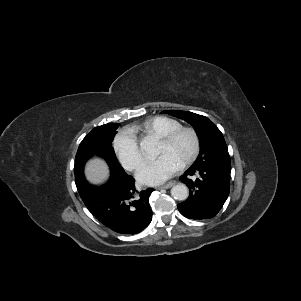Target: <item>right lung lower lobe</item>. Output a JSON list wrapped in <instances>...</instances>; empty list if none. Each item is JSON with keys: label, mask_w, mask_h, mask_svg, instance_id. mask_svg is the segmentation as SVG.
<instances>
[{"label": "right lung lower lobe", "mask_w": 301, "mask_h": 301, "mask_svg": "<svg viewBox=\"0 0 301 301\" xmlns=\"http://www.w3.org/2000/svg\"><path fill=\"white\" fill-rule=\"evenodd\" d=\"M134 182L123 169H111L105 184L96 186L83 180L76 182V186L85 206L98 221L116 233L133 235L152 220L149 196L154 191L148 188L137 193Z\"/></svg>", "instance_id": "1"}]
</instances>
